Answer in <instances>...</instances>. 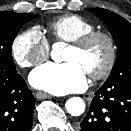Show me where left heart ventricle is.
Returning <instances> with one entry per match:
<instances>
[{
    "label": "left heart ventricle",
    "mask_w": 131,
    "mask_h": 131,
    "mask_svg": "<svg viewBox=\"0 0 131 131\" xmlns=\"http://www.w3.org/2000/svg\"><path fill=\"white\" fill-rule=\"evenodd\" d=\"M107 56L108 48L106 43L98 39L82 51L68 47L64 55V60L66 62L74 61L78 63L85 73L89 75L103 67Z\"/></svg>",
    "instance_id": "b2bd125f"
}]
</instances>
